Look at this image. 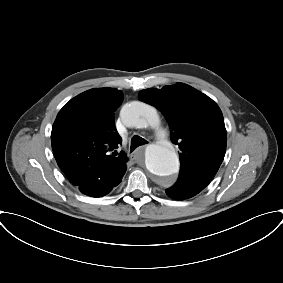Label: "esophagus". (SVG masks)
<instances>
[{"label": "esophagus", "instance_id": "obj_1", "mask_svg": "<svg viewBox=\"0 0 283 283\" xmlns=\"http://www.w3.org/2000/svg\"><path fill=\"white\" fill-rule=\"evenodd\" d=\"M145 146L139 147L134 153L131 155V159L138 161L139 160V153L144 151Z\"/></svg>", "mask_w": 283, "mask_h": 283}]
</instances>
